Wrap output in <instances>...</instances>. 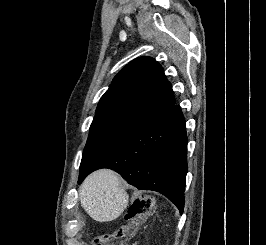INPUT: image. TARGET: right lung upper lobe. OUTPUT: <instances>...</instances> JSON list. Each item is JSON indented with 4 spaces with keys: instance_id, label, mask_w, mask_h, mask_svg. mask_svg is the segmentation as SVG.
<instances>
[{
    "instance_id": "cb5924a9",
    "label": "right lung upper lobe",
    "mask_w": 266,
    "mask_h": 245,
    "mask_svg": "<svg viewBox=\"0 0 266 245\" xmlns=\"http://www.w3.org/2000/svg\"><path fill=\"white\" fill-rule=\"evenodd\" d=\"M175 104L171 84L153 58L140 57L127 64L102 96L96 115H119L144 120Z\"/></svg>"
}]
</instances>
